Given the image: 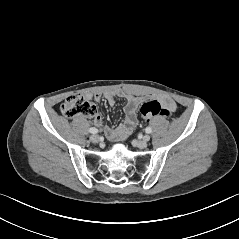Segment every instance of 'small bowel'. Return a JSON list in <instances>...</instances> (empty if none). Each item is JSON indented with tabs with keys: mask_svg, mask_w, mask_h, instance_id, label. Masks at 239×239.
Masks as SVG:
<instances>
[{
	"mask_svg": "<svg viewBox=\"0 0 239 239\" xmlns=\"http://www.w3.org/2000/svg\"><path fill=\"white\" fill-rule=\"evenodd\" d=\"M89 98H93L95 101H100L102 98L108 103L109 106L115 105V98L119 97L124 99V113L125 120L122 124L117 127H106L104 129L105 135L110 141H121L126 139L137 126V108L139 104L144 100L142 97H137L124 92H106L104 94L95 93L93 95H88ZM163 106L169 111L173 112L176 110V103L173 99L169 97L160 98ZM93 122L96 126L100 127L103 124V118L99 114H95L93 117Z\"/></svg>",
	"mask_w": 239,
	"mask_h": 239,
	"instance_id": "c3829d8e",
	"label": "small bowel"
}]
</instances>
